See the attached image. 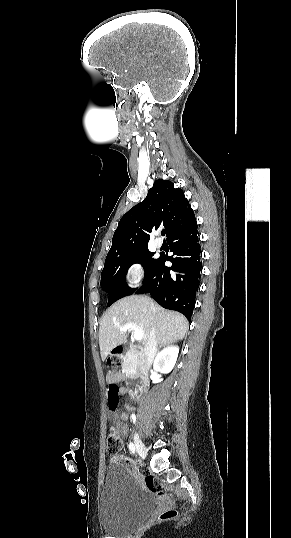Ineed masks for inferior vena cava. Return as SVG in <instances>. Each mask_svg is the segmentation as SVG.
<instances>
[{
  "instance_id": "obj_1",
  "label": "inferior vena cava",
  "mask_w": 291,
  "mask_h": 538,
  "mask_svg": "<svg viewBox=\"0 0 291 538\" xmlns=\"http://www.w3.org/2000/svg\"><path fill=\"white\" fill-rule=\"evenodd\" d=\"M157 344L158 343H157V338H156V329L155 327H152L149 337H148V341L144 346V354L146 355V358H147L148 367H150V365L152 364L154 360V357L156 356Z\"/></svg>"
}]
</instances>
